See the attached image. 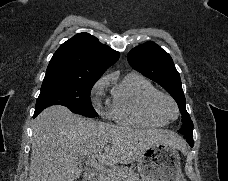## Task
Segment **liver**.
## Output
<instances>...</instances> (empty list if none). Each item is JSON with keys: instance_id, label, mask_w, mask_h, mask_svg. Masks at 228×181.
Wrapping results in <instances>:
<instances>
[{"instance_id": "1", "label": "liver", "mask_w": 228, "mask_h": 181, "mask_svg": "<svg viewBox=\"0 0 228 181\" xmlns=\"http://www.w3.org/2000/svg\"><path fill=\"white\" fill-rule=\"evenodd\" d=\"M33 125L28 181H77L82 175L78 165L89 157L100 165H129L154 143L186 149L175 133L86 121L61 105L44 109Z\"/></svg>"}]
</instances>
